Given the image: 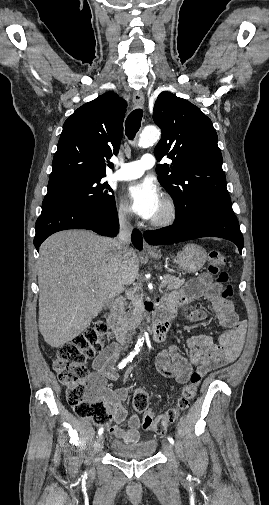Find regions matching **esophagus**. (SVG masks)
Wrapping results in <instances>:
<instances>
[{"label":"esophagus","mask_w":269,"mask_h":505,"mask_svg":"<svg viewBox=\"0 0 269 505\" xmlns=\"http://www.w3.org/2000/svg\"><path fill=\"white\" fill-rule=\"evenodd\" d=\"M145 102L144 94L141 91H135L133 94V103L136 108H143ZM144 252H153L155 249L147 242L143 243Z\"/></svg>","instance_id":"1"}]
</instances>
